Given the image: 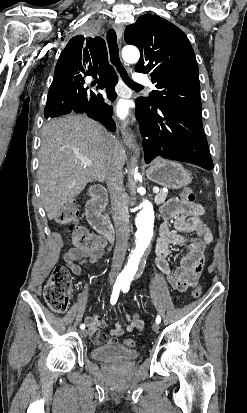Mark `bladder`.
I'll return each instance as SVG.
<instances>
[{
  "label": "bladder",
  "instance_id": "bladder-1",
  "mask_svg": "<svg viewBox=\"0 0 247 413\" xmlns=\"http://www.w3.org/2000/svg\"><path fill=\"white\" fill-rule=\"evenodd\" d=\"M93 360L99 362L129 363L138 357V352L123 345H106L91 350Z\"/></svg>",
  "mask_w": 247,
  "mask_h": 413
}]
</instances>
